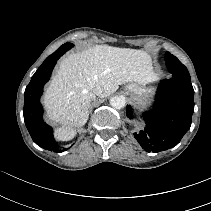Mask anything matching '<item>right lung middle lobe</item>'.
I'll return each mask as SVG.
<instances>
[{
  "label": "right lung middle lobe",
  "instance_id": "1",
  "mask_svg": "<svg viewBox=\"0 0 211 211\" xmlns=\"http://www.w3.org/2000/svg\"><path fill=\"white\" fill-rule=\"evenodd\" d=\"M72 46H73V44H71V43H66V44L62 45L52 55H50L43 63L51 61L56 56H58V57L62 56Z\"/></svg>",
  "mask_w": 211,
  "mask_h": 211
}]
</instances>
